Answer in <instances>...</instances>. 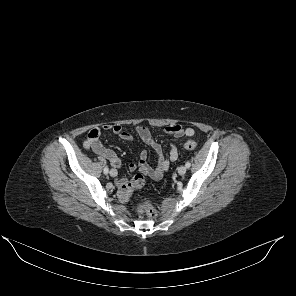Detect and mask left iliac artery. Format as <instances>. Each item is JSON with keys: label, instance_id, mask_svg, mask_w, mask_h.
<instances>
[{"label": "left iliac artery", "instance_id": "44dca946", "mask_svg": "<svg viewBox=\"0 0 296 296\" xmlns=\"http://www.w3.org/2000/svg\"><path fill=\"white\" fill-rule=\"evenodd\" d=\"M185 166H186V168H189L191 166V163L188 161V162H186Z\"/></svg>", "mask_w": 296, "mask_h": 296}]
</instances>
